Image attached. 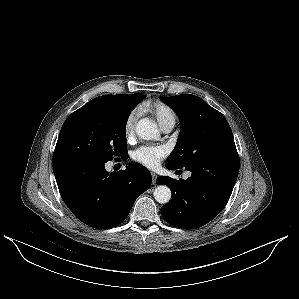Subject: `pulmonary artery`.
Returning a JSON list of instances; mask_svg holds the SVG:
<instances>
[{
	"label": "pulmonary artery",
	"mask_w": 299,
	"mask_h": 299,
	"mask_svg": "<svg viewBox=\"0 0 299 299\" xmlns=\"http://www.w3.org/2000/svg\"><path fill=\"white\" fill-rule=\"evenodd\" d=\"M174 125H175L174 123H167V124L163 125L161 127V129L164 133H168L173 129ZM188 176H189V173H186L185 177H188Z\"/></svg>",
	"instance_id": "obj_1"
}]
</instances>
